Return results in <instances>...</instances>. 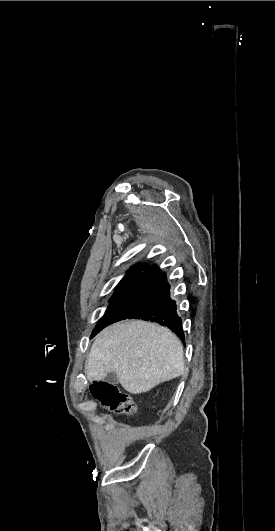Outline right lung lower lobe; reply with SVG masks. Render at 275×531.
I'll return each instance as SVG.
<instances>
[{
  "label": "right lung lower lobe",
  "mask_w": 275,
  "mask_h": 531,
  "mask_svg": "<svg viewBox=\"0 0 275 531\" xmlns=\"http://www.w3.org/2000/svg\"><path fill=\"white\" fill-rule=\"evenodd\" d=\"M122 319H142L160 323L185 341L176 302L170 298L166 273L159 270L157 265L147 268L139 280L112 306L96 334Z\"/></svg>",
  "instance_id": "right-lung-lower-lobe-1"
}]
</instances>
